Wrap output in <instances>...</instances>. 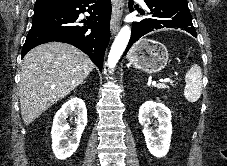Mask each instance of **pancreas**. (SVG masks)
<instances>
[{"mask_svg":"<svg viewBox=\"0 0 227 166\" xmlns=\"http://www.w3.org/2000/svg\"><path fill=\"white\" fill-rule=\"evenodd\" d=\"M155 87L158 89H167V86L165 84H158Z\"/></svg>","mask_w":227,"mask_h":166,"instance_id":"obj_1","label":"pancreas"}]
</instances>
